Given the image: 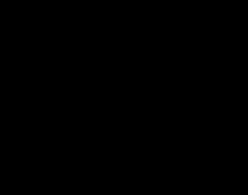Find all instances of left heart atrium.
<instances>
[{
	"label": "left heart atrium",
	"instance_id": "left-heart-atrium-1",
	"mask_svg": "<svg viewBox=\"0 0 248 195\" xmlns=\"http://www.w3.org/2000/svg\"><path fill=\"white\" fill-rule=\"evenodd\" d=\"M133 97H134L135 99H137L138 101H143V100L145 99L144 96L141 95V94L138 93V92H134V93H133Z\"/></svg>",
	"mask_w": 248,
	"mask_h": 195
}]
</instances>
